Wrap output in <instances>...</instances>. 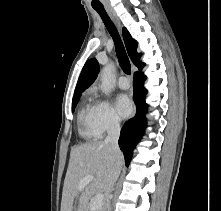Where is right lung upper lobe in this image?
<instances>
[{"label":"right lung upper lobe","mask_w":221,"mask_h":211,"mask_svg":"<svg viewBox=\"0 0 221 211\" xmlns=\"http://www.w3.org/2000/svg\"><path fill=\"white\" fill-rule=\"evenodd\" d=\"M123 39L126 45L127 52L132 62L139 68H143L144 63L139 62L140 54L137 53V42L132 39L126 28H123ZM99 73V64L95 58L89 59L81 72L76 85L74 97L81 96L82 92L87 89L96 79Z\"/></svg>","instance_id":"1"}]
</instances>
